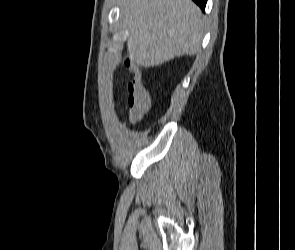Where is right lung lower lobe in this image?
Masks as SVG:
<instances>
[{
    "label": "right lung lower lobe",
    "mask_w": 295,
    "mask_h": 250,
    "mask_svg": "<svg viewBox=\"0 0 295 250\" xmlns=\"http://www.w3.org/2000/svg\"><path fill=\"white\" fill-rule=\"evenodd\" d=\"M203 11L205 10L207 0H193Z\"/></svg>",
    "instance_id": "98d812e1"
}]
</instances>
